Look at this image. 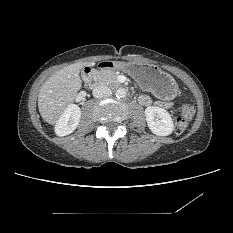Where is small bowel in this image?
<instances>
[{"label": "small bowel", "instance_id": "c3829d8e", "mask_svg": "<svg viewBox=\"0 0 233 233\" xmlns=\"http://www.w3.org/2000/svg\"><path fill=\"white\" fill-rule=\"evenodd\" d=\"M138 101L141 105H144V106H148L152 103H154L155 105H159V106L166 105L165 103H162V102H154L153 99L149 95H146V94L140 95L138 98Z\"/></svg>", "mask_w": 233, "mask_h": 233}]
</instances>
